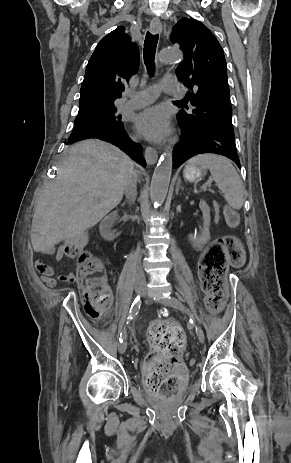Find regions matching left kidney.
Returning a JSON list of instances; mask_svg holds the SVG:
<instances>
[{
    "label": "left kidney",
    "instance_id": "left-kidney-1",
    "mask_svg": "<svg viewBox=\"0 0 291 463\" xmlns=\"http://www.w3.org/2000/svg\"><path fill=\"white\" fill-rule=\"evenodd\" d=\"M199 207L203 213V228L199 235L189 234V241L196 250H201L203 246L210 240V208L204 200H200Z\"/></svg>",
    "mask_w": 291,
    "mask_h": 463
}]
</instances>
